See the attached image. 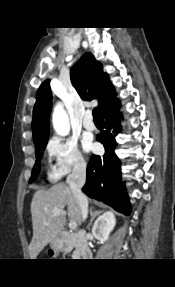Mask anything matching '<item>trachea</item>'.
Here are the masks:
<instances>
[{
	"mask_svg": "<svg viewBox=\"0 0 175 287\" xmlns=\"http://www.w3.org/2000/svg\"><path fill=\"white\" fill-rule=\"evenodd\" d=\"M93 118H94L95 121H99L100 120L98 108H94L93 109Z\"/></svg>",
	"mask_w": 175,
	"mask_h": 287,
	"instance_id": "1",
	"label": "trachea"
}]
</instances>
